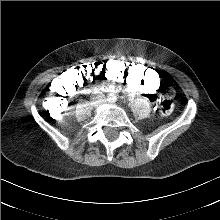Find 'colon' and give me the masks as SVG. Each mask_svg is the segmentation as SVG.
<instances>
[{
  "mask_svg": "<svg viewBox=\"0 0 220 220\" xmlns=\"http://www.w3.org/2000/svg\"><path fill=\"white\" fill-rule=\"evenodd\" d=\"M98 85L103 81H122L139 91H154L160 87L161 78L150 64L140 65L136 61L110 60L77 65L57 77L45 90L44 109L49 115L61 113L65 107L64 97L73 93L82 83ZM173 90L161 89L159 93L149 94V112L153 116L165 117L172 112L170 98Z\"/></svg>",
  "mask_w": 220,
  "mask_h": 220,
  "instance_id": "1",
  "label": "colon"
}]
</instances>
